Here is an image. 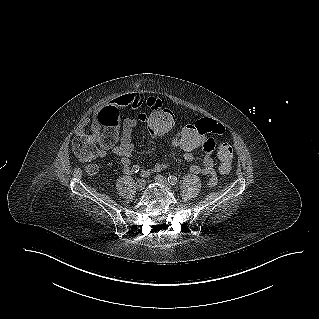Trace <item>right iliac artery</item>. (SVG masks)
I'll use <instances>...</instances> for the list:
<instances>
[{
	"label": "right iliac artery",
	"mask_w": 319,
	"mask_h": 319,
	"mask_svg": "<svg viewBox=\"0 0 319 319\" xmlns=\"http://www.w3.org/2000/svg\"><path fill=\"white\" fill-rule=\"evenodd\" d=\"M139 170H140V167H139L138 165H135V166H133V168H132V172H133V173H137V172H139ZM142 176H145V174H143Z\"/></svg>",
	"instance_id": "1"
}]
</instances>
